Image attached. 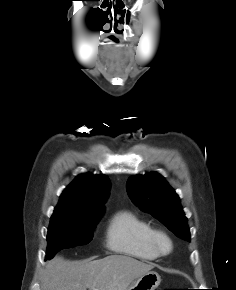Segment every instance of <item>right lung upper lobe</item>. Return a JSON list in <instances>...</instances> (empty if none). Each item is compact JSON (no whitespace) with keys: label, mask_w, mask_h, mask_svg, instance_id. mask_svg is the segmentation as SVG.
<instances>
[{"label":"right lung upper lobe","mask_w":236,"mask_h":290,"mask_svg":"<svg viewBox=\"0 0 236 290\" xmlns=\"http://www.w3.org/2000/svg\"><path fill=\"white\" fill-rule=\"evenodd\" d=\"M110 180L105 175L80 174L60 196L54 215L87 216L101 214L103 203L110 190Z\"/></svg>","instance_id":"obj_1"}]
</instances>
